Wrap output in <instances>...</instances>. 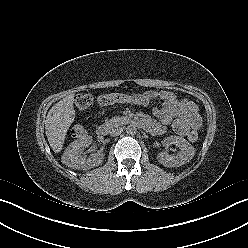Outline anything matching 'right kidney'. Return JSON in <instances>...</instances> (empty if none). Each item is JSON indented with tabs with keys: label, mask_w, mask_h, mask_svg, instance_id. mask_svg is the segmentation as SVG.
<instances>
[{
	"label": "right kidney",
	"mask_w": 248,
	"mask_h": 248,
	"mask_svg": "<svg viewBox=\"0 0 248 248\" xmlns=\"http://www.w3.org/2000/svg\"><path fill=\"white\" fill-rule=\"evenodd\" d=\"M92 143L91 136L81 137L66 148L62 155V162L68 167L78 170H88L100 165L104 159V153L98 151L89 158L82 156L83 149L89 147Z\"/></svg>",
	"instance_id": "obj_1"
}]
</instances>
